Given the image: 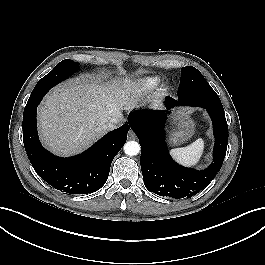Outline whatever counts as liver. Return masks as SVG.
Wrapping results in <instances>:
<instances>
[{
	"label": "liver",
	"instance_id": "1",
	"mask_svg": "<svg viewBox=\"0 0 265 265\" xmlns=\"http://www.w3.org/2000/svg\"><path fill=\"white\" fill-rule=\"evenodd\" d=\"M123 93L118 83L106 86L79 78L56 86L38 107L43 144L62 156L88 148L105 134L108 121L122 118Z\"/></svg>",
	"mask_w": 265,
	"mask_h": 265
}]
</instances>
